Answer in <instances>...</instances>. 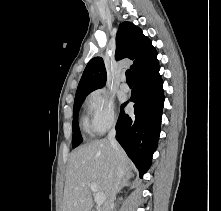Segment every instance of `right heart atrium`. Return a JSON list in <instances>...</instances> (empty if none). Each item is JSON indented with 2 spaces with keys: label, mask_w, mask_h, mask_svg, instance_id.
I'll return each instance as SVG.
<instances>
[{
  "label": "right heart atrium",
  "mask_w": 221,
  "mask_h": 211,
  "mask_svg": "<svg viewBox=\"0 0 221 211\" xmlns=\"http://www.w3.org/2000/svg\"><path fill=\"white\" fill-rule=\"evenodd\" d=\"M87 128L100 135L116 124L115 106L112 97L104 89L92 91L86 98Z\"/></svg>",
  "instance_id": "obj_1"
}]
</instances>
